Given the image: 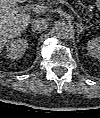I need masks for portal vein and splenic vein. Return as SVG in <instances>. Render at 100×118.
<instances>
[{
  "label": "portal vein and splenic vein",
  "mask_w": 100,
  "mask_h": 118,
  "mask_svg": "<svg viewBox=\"0 0 100 118\" xmlns=\"http://www.w3.org/2000/svg\"><path fill=\"white\" fill-rule=\"evenodd\" d=\"M59 2L67 5V2H64L63 0H59ZM50 7H51L50 4L47 5L31 4L32 11L41 14L45 13Z\"/></svg>",
  "instance_id": "18ae733b"
}]
</instances>
